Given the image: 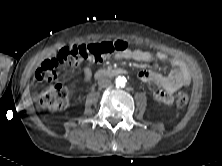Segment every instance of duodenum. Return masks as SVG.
<instances>
[{"label": "duodenum", "instance_id": "410a0bca", "mask_svg": "<svg viewBox=\"0 0 222 166\" xmlns=\"http://www.w3.org/2000/svg\"><path fill=\"white\" fill-rule=\"evenodd\" d=\"M126 70L123 68H104L99 70L96 74L95 77L97 79L106 77V76H116L120 74H125Z\"/></svg>", "mask_w": 222, "mask_h": 166}]
</instances>
